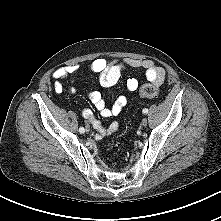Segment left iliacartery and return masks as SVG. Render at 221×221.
Wrapping results in <instances>:
<instances>
[{
    "instance_id": "left-iliac-artery-1",
    "label": "left iliac artery",
    "mask_w": 221,
    "mask_h": 221,
    "mask_svg": "<svg viewBox=\"0 0 221 221\" xmlns=\"http://www.w3.org/2000/svg\"><path fill=\"white\" fill-rule=\"evenodd\" d=\"M142 112H143L144 114H147V113H148V109L144 108Z\"/></svg>"
}]
</instances>
